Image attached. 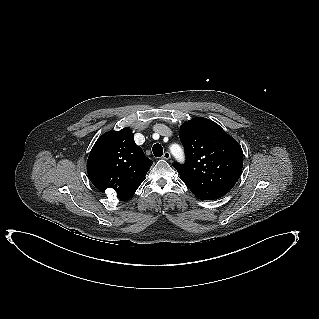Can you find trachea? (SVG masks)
I'll return each mask as SVG.
<instances>
[{"label":"trachea","instance_id":"1","mask_svg":"<svg viewBox=\"0 0 319 319\" xmlns=\"http://www.w3.org/2000/svg\"><path fill=\"white\" fill-rule=\"evenodd\" d=\"M153 154L155 155V157H161L163 154V148L160 144H154L153 148H152Z\"/></svg>","mask_w":319,"mask_h":319}]
</instances>
